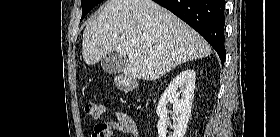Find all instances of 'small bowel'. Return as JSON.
<instances>
[{
    "label": "small bowel",
    "mask_w": 280,
    "mask_h": 137,
    "mask_svg": "<svg viewBox=\"0 0 280 137\" xmlns=\"http://www.w3.org/2000/svg\"><path fill=\"white\" fill-rule=\"evenodd\" d=\"M115 132H122L126 137H139L137 129L128 117L119 113L116 121L97 123L93 127L92 137H112Z\"/></svg>",
    "instance_id": "c3829d8e"
}]
</instances>
